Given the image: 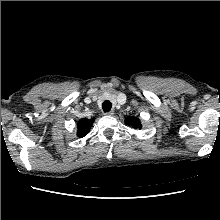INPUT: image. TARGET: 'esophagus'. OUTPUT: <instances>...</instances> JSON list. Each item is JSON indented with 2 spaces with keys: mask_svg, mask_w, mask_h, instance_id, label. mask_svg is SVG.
Instances as JSON below:
<instances>
[{
  "mask_svg": "<svg viewBox=\"0 0 220 220\" xmlns=\"http://www.w3.org/2000/svg\"><path fill=\"white\" fill-rule=\"evenodd\" d=\"M105 114L108 115V116H112V115H114V111L111 110V111L106 112Z\"/></svg>",
  "mask_w": 220,
  "mask_h": 220,
  "instance_id": "1",
  "label": "esophagus"
}]
</instances>
